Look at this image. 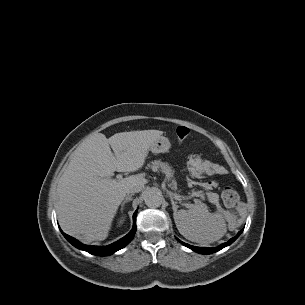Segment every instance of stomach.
I'll use <instances>...</instances> for the list:
<instances>
[{
	"label": "stomach",
	"instance_id": "obj_1",
	"mask_svg": "<svg viewBox=\"0 0 305 305\" xmlns=\"http://www.w3.org/2000/svg\"><path fill=\"white\" fill-rule=\"evenodd\" d=\"M171 148V143L167 137L160 136L155 142H153L149 148L152 153H167Z\"/></svg>",
	"mask_w": 305,
	"mask_h": 305
}]
</instances>
